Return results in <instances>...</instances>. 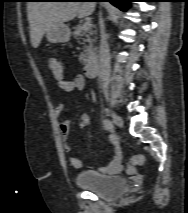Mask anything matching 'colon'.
<instances>
[{
	"instance_id": "5ec220e1",
	"label": "colon",
	"mask_w": 188,
	"mask_h": 213,
	"mask_svg": "<svg viewBox=\"0 0 188 213\" xmlns=\"http://www.w3.org/2000/svg\"><path fill=\"white\" fill-rule=\"evenodd\" d=\"M48 67L52 75L56 79H61L63 77L62 64L58 59L51 58L48 60ZM144 162V156L142 154L134 155L127 164V171L131 174L137 171L138 166Z\"/></svg>"
}]
</instances>
